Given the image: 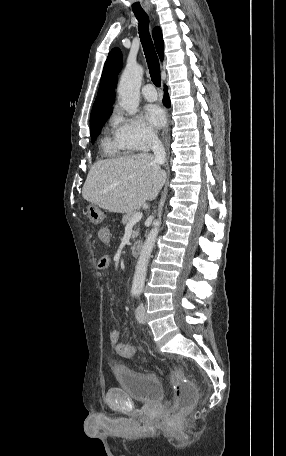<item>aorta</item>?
<instances>
[{
	"mask_svg": "<svg viewBox=\"0 0 286 456\" xmlns=\"http://www.w3.org/2000/svg\"><path fill=\"white\" fill-rule=\"evenodd\" d=\"M142 77L143 68L138 64H130L127 65L120 78L117 89L119 104L130 115H134L138 111ZM159 226L160 221L158 220L149 232L140 251L132 281V290L134 291H142L144 288L147 266L158 236Z\"/></svg>",
	"mask_w": 286,
	"mask_h": 456,
	"instance_id": "aorta-1",
	"label": "aorta"
}]
</instances>
